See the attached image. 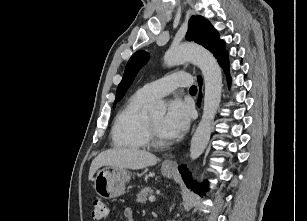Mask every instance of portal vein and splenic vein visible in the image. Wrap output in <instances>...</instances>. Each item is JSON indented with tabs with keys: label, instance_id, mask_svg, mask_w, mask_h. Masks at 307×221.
<instances>
[{
	"label": "portal vein and splenic vein",
	"instance_id": "1",
	"mask_svg": "<svg viewBox=\"0 0 307 221\" xmlns=\"http://www.w3.org/2000/svg\"><path fill=\"white\" fill-rule=\"evenodd\" d=\"M149 201H150V202H154V201H155V197H154V196H150V197H149Z\"/></svg>",
	"mask_w": 307,
	"mask_h": 221
}]
</instances>
